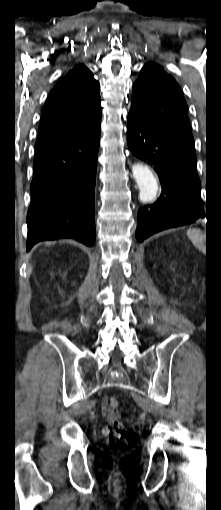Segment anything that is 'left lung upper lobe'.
<instances>
[{
    "label": "left lung upper lobe",
    "mask_w": 221,
    "mask_h": 510,
    "mask_svg": "<svg viewBox=\"0 0 221 510\" xmlns=\"http://www.w3.org/2000/svg\"><path fill=\"white\" fill-rule=\"evenodd\" d=\"M133 102L132 109L158 133L195 151L187 103L180 86L160 65L147 63L142 68L133 85Z\"/></svg>",
    "instance_id": "obj_1"
}]
</instances>
